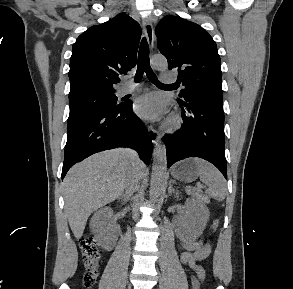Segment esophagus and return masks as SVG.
Returning a JSON list of instances; mask_svg holds the SVG:
<instances>
[{
    "label": "esophagus",
    "instance_id": "34e87169",
    "mask_svg": "<svg viewBox=\"0 0 293 289\" xmlns=\"http://www.w3.org/2000/svg\"><path fill=\"white\" fill-rule=\"evenodd\" d=\"M143 24V29L145 36L147 38L148 44L150 48L152 49L154 46V30H153V25L150 20L145 19L142 22ZM148 132H149V137L152 140L153 144H158L161 136L158 134V132L152 127H148Z\"/></svg>",
    "mask_w": 293,
    "mask_h": 289
}]
</instances>
